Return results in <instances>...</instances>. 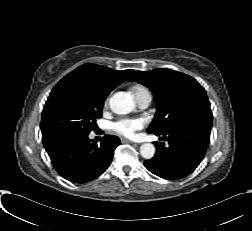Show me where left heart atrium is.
Here are the masks:
<instances>
[{"label": "left heart atrium", "instance_id": "obj_1", "mask_svg": "<svg viewBox=\"0 0 252 231\" xmlns=\"http://www.w3.org/2000/svg\"><path fill=\"white\" fill-rule=\"evenodd\" d=\"M144 125L145 121L142 118H123L113 123V129L121 135L130 137Z\"/></svg>", "mask_w": 252, "mask_h": 231}]
</instances>
